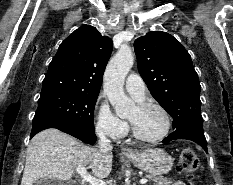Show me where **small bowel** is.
Wrapping results in <instances>:
<instances>
[{
    "label": "small bowel",
    "mask_w": 233,
    "mask_h": 185,
    "mask_svg": "<svg viewBox=\"0 0 233 185\" xmlns=\"http://www.w3.org/2000/svg\"><path fill=\"white\" fill-rule=\"evenodd\" d=\"M172 185H187V184L183 181H176Z\"/></svg>",
    "instance_id": "small-bowel-1"
}]
</instances>
